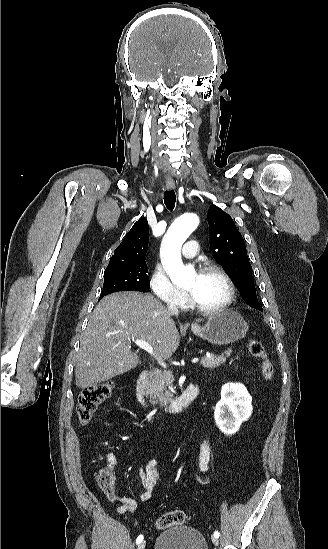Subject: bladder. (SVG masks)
Returning <instances> with one entry per match:
<instances>
[{
  "mask_svg": "<svg viewBox=\"0 0 328 549\" xmlns=\"http://www.w3.org/2000/svg\"><path fill=\"white\" fill-rule=\"evenodd\" d=\"M155 549H207L206 540L197 528L175 526L161 532Z\"/></svg>",
  "mask_w": 328,
  "mask_h": 549,
  "instance_id": "31cf9c89",
  "label": "bladder"
}]
</instances>
